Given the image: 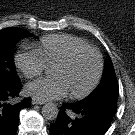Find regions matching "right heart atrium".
Segmentation results:
<instances>
[{"label": "right heart atrium", "instance_id": "1", "mask_svg": "<svg viewBox=\"0 0 135 135\" xmlns=\"http://www.w3.org/2000/svg\"><path fill=\"white\" fill-rule=\"evenodd\" d=\"M15 64L28 79L40 76L46 69L43 59L35 49L18 52L15 56Z\"/></svg>", "mask_w": 135, "mask_h": 135}]
</instances>
